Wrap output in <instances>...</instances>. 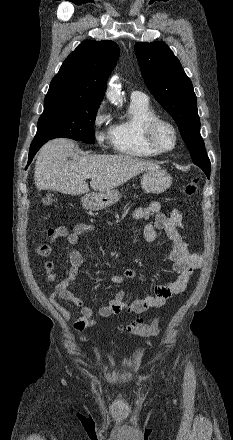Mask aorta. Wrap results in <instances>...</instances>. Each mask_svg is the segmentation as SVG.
Returning a JSON list of instances; mask_svg holds the SVG:
<instances>
[{"instance_id": "aorta-1", "label": "aorta", "mask_w": 233, "mask_h": 440, "mask_svg": "<svg viewBox=\"0 0 233 440\" xmlns=\"http://www.w3.org/2000/svg\"><path fill=\"white\" fill-rule=\"evenodd\" d=\"M106 97L112 103H117L121 99L120 89L116 82L113 80L109 83V87L106 92Z\"/></svg>"}]
</instances>
